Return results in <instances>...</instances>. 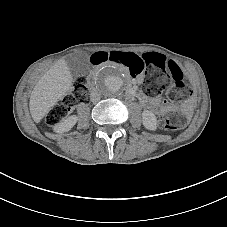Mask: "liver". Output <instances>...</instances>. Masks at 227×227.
<instances>
[{
    "mask_svg": "<svg viewBox=\"0 0 227 227\" xmlns=\"http://www.w3.org/2000/svg\"><path fill=\"white\" fill-rule=\"evenodd\" d=\"M72 75L65 60H58L45 72L30 96V112L34 122L39 123L49 110L67 94Z\"/></svg>",
    "mask_w": 227,
    "mask_h": 227,
    "instance_id": "liver-1",
    "label": "liver"
}]
</instances>
